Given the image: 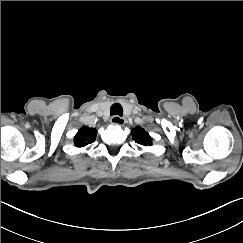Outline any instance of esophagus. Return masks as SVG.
I'll list each match as a JSON object with an SVG mask.
<instances>
[{"label": "esophagus", "mask_w": 243, "mask_h": 243, "mask_svg": "<svg viewBox=\"0 0 243 243\" xmlns=\"http://www.w3.org/2000/svg\"><path fill=\"white\" fill-rule=\"evenodd\" d=\"M111 123L114 124V125H119V126H121V125H124V123H125V119L122 118V117H120V116H118V115H115V116H113V117L111 118Z\"/></svg>", "instance_id": "34e87169"}]
</instances>
